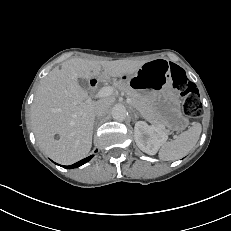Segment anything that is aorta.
I'll use <instances>...</instances> for the list:
<instances>
[{
	"label": "aorta",
	"instance_id": "762f6f07",
	"mask_svg": "<svg viewBox=\"0 0 231 231\" xmlns=\"http://www.w3.org/2000/svg\"><path fill=\"white\" fill-rule=\"evenodd\" d=\"M111 115L114 120L123 121L127 117V110L124 105L116 104L111 110Z\"/></svg>",
	"mask_w": 231,
	"mask_h": 231
}]
</instances>
